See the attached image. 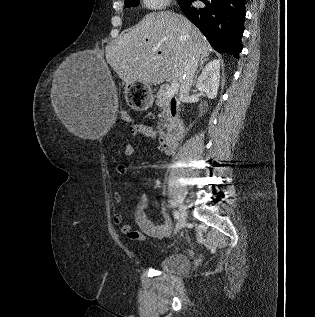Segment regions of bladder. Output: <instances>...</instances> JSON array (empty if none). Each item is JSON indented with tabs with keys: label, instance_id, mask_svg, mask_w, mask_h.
Instances as JSON below:
<instances>
[{
	"label": "bladder",
	"instance_id": "bladder-1",
	"mask_svg": "<svg viewBox=\"0 0 315 317\" xmlns=\"http://www.w3.org/2000/svg\"><path fill=\"white\" fill-rule=\"evenodd\" d=\"M159 268L166 272L182 274L189 270L190 262L186 255L182 253H173L160 260Z\"/></svg>",
	"mask_w": 315,
	"mask_h": 317
}]
</instances>
